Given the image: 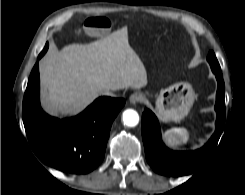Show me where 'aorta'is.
<instances>
[{
  "instance_id": "762f6f07",
  "label": "aorta",
  "mask_w": 245,
  "mask_h": 195,
  "mask_svg": "<svg viewBox=\"0 0 245 195\" xmlns=\"http://www.w3.org/2000/svg\"><path fill=\"white\" fill-rule=\"evenodd\" d=\"M123 122L129 127H134L139 122V115L133 109H127L123 112Z\"/></svg>"
}]
</instances>
